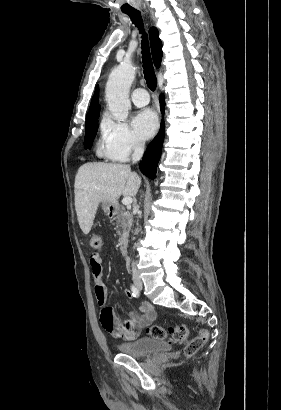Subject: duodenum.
Wrapping results in <instances>:
<instances>
[{
	"label": "duodenum",
	"mask_w": 281,
	"mask_h": 410,
	"mask_svg": "<svg viewBox=\"0 0 281 410\" xmlns=\"http://www.w3.org/2000/svg\"><path fill=\"white\" fill-rule=\"evenodd\" d=\"M127 244H128L127 238L120 239L119 250L122 255H125L127 253Z\"/></svg>",
	"instance_id": "1"
}]
</instances>
